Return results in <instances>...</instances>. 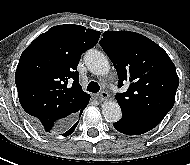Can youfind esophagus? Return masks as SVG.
<instances>
[{
	"label": "esophagus",
	"instance_id": "34e87169",
	"mask_svg": "<svg viewBox=\"0 0 190 165\" xmlns=\"http://www.w3.org/2000/svg\"><path fill=\"white\" fill-rule=\"evenodd\" d=\"M109 98V94L105 91H102L99 95H98V99L99 101H106Z\"/></svg>",
	"mask_w": 190,
	"mask_h": 165
}]
</instances>
